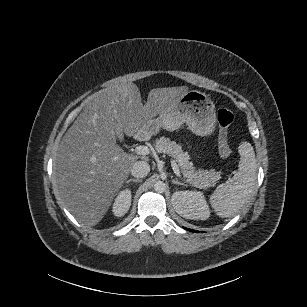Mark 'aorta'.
<instances>
[{
    "label": "aorta",
    "mask_w": 307,
    "mask_h": 307,
    "mask_svg": "<svg viewBox=\"0 0 307 307\" xmlns=\"http://www.w3.org/2000/svg\"><path fill=\"white\" fill-rule=\"evenodd\" d=\"M154 190L158 193H163L166 191V184L163 181H157L154 184Z\"/></svg>",
    "instance_id": "obj_1"
}]
</instances>
